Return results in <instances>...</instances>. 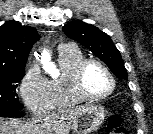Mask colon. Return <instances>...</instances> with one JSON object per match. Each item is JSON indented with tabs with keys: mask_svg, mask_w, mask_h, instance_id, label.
Masks as SVG:
<instances>
[{
	"mask_svg": "<svg viewBox=\"0 0 153 134\" xmlns=\"http://www.w3.org/2000/svg\"><path fill=\"white\" fill-rule=\"evenodd\" d=\"M106 131L109 134H128V130L122 124V118L118 114H114L110 117Z\"/></svg>",
	"mask_w": 153,
	"mask_h": 134,
	"instance_id": "1",
	"label": "colon"
}]
</instances>
